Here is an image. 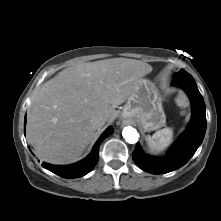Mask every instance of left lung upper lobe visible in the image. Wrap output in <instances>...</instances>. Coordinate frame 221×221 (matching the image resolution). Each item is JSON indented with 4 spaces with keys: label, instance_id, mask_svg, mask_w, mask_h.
Instances as JSON below:
<instances>
[{
    "label": "left lung upper lobe",
    "instance_id": "left-lung-upper-lobe-1",
    "mask_svg": "<svg viewBox=\"0 0 221 221\" xmlns=\"http://www.w3.org/2000/svg\"><path fill=\"white\" fill-rule=\"evenodd\" d=\"M183 74H188L185 71H179L178 73L174 74V77L178 76V75H183Z\"/></svg>",
    "mask_w": 221,
    "mask_h": 221
}]
</instances>
